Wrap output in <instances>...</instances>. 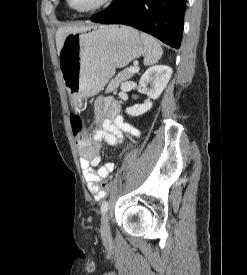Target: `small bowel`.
<instances>
[{
    "label": "small bowel",
    "instance_id": "small-bowel-1",
    "mask_svg": "<svg viewBox=\"0 0 247 275\" xmlns=\"http://www.w3.org/2000/svg\"><path fill=\"white\" fill-rule=\"evenodd\" d=\"M94 109L95 122L101 128L94 132L91 139L79 141L77 149L88 189L96 200H101L107 193L102 190L100 182L115 169L114 162H106L99 167L102 144L118 146L125 141L126 134L139 138L140 132L124 120L120 114V104L115 99L101 98L95 102Z\"/></svg>",
    "mask_w": 247,
    "mask_h": 275
}]
</instances>
